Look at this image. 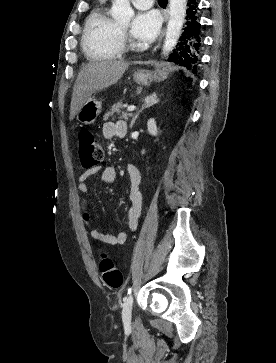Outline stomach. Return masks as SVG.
I'll use <instances>...</instances> for the list:
<instances>
[{
  "label": "stomach",
  "instance_id": "0dacf381",
  "mask_svg": "<svg viewBox=\"0 0 276 363\" xmlns=\"http://www.w3.org/2000/svg\"><path fill=\"white\" fill-rule=\"evenodd\" d=\"M134 81L143 86H149L153 81H163L167 78L164 69L157 67L155 71H137L133 75ZM102 105L95 97L88 98L77 112V120L85 125L93 124L101 113Z\"/></svg>",
  "mask_w": 276,
  "mask_h": 363
}]
</instances>
